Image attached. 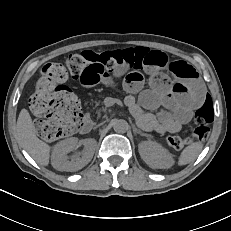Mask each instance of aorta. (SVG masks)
Instances as JSON below:
<instances>
[{
	"label": "aorta",
	"mask_w": 231,
	"mask_h": 231,
	"mask_svg": "<svg viewBox=\"0 0 231 231\" xmlns=\"http://www.w3.org/2000/svg\"><path fill=\"white\" fill-rule=\"evenodd\" d=\"M129 128L128 122L124 119H115L113 121V129L117 133H125Z\"/></svg>",
	"instance_id": "aorta-1"
}]
</instances>
